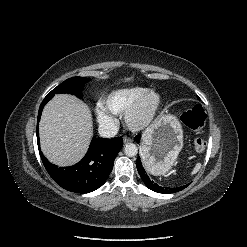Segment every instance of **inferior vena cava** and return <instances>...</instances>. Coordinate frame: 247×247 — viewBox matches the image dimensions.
I'll return each mask as SVG.
<instances>
[{
    "label": "inferior vena cava",
    "mask_w": 247,
    "mask_h": 247,
    "mask_svg": "<svg viewBox=\"0 0 247 247\" xmlns=\"http://www.w3.org/2000/svg\"><path fill=\"white\" fill-rule=\"evenodd\" d=\"M98 132L101 137L112 138L118 132V127L114 123H103L99 125Z\"/></svg>",
    "instance_id": "inferior-vena-cava-1"
}]
</instances>
